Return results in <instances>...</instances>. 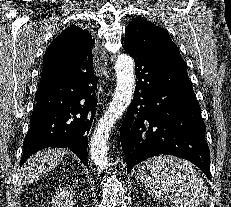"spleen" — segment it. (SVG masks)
<instances>
[{"instance_id":"1","label":"spleen","mask_w":231,"mask_h":207,"mask_svg":"<svg viewBox=\"0 0 231 207\" xmlns=\"http://www.w3.org/2000/svg\"><path fill=\"white\" fill-rule=\"evenodd\" d=\"M137 175L146 191L175 207H198L206 198V187L193 165L172 156H156L143 162Z\"/></svg>"}]
</instances>
